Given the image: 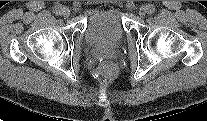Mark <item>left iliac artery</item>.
Returning <instances> with one entry per match:
<instances>
[{
	"label": "left iliac artery",
	"mask_w": 207,
	"mask_h": 121,
	"mask_svg": "<svg viewBox=\"0 0 207 121\" xmlns=\"http://www.w3.org/2000/svg\"><path fill=\"white\" fill-rule=\"evenodd\" d=\"M147 9L149 14H153L155 12V7L152 4L148 5Z\"/></svg>",
	"instance_id": "obj_1"
}]
</instances>
